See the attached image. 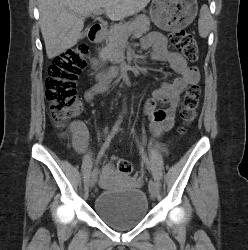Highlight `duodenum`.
Listing matches in <instances>:
<instances>
[{"label":"duodenum","mask_w":248,"mask_h":250,"mask_svg":"<svg viewBox=\"0 0 248 250\" xmlns=\"http://www.w3.org/2000/svg\"><path fill=\"white\" fill-rule=\"evenodd\" d=\"M103 31V24L93 23L88 29V38L91 42L98 44L101 42V33ZM90 68L96 78L101 84H106L111 80L126 75V69L121 65H113L101 68L96 59H91Z\"/></svg>","instance_id":"obj_1"}]
</instances>
